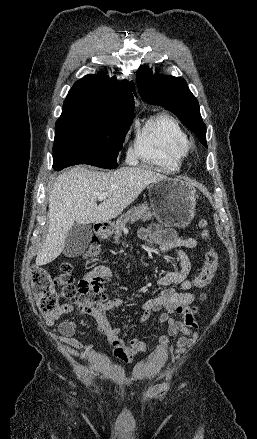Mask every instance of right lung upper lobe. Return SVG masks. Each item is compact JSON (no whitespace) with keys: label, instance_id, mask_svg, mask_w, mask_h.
Listing matches in <instances>:
<instances>
[{"label":"right lung upper lobe","instance_id":"cb5924a9","mask_svg":"<svg viewBox=\"0 0 257 439\" xmlns=\"http://www.w3.org/2000/svg\"><path fill=\"white\" fill-rule=\"evenodd\" d=\"M136 91L133 82L117 81L103 73L87 75L69 91L61 116L87 113L105 117H122L133 113Z\"/></svg>","mask_w":257,"mask_h":439}]
</instances>
